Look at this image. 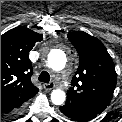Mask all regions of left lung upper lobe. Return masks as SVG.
I'll use <instances>...</instances> for the list:
<instances>
[{
	"label": "left lung upper lobe",
	"mask_w": 122,
	"mask_h": 122,
	"mask_svg": "<svg viewBox=\"0 0 122 122\" xmlns=\"http://www.w3.org/2000/svg\"><path fill=\"white\" fill-rule=\"evenodd\" d=\"M80 56L79 67L67 91V102L100 114L110 103L117 82L113 60L103 43L83 32L68 33Z\"/></svg>",
	"instance_id": "5c2ea615"
}]
</instances>
